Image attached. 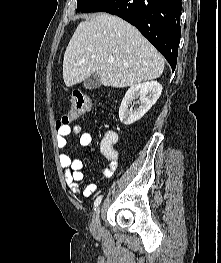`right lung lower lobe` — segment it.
<instances>
[{
	"instance_id": "right-lung-lower-lobe-1",
	"label": "right lung lower lobe",
	"mask_w": 221,
	"mask_h": 263,
	"mask_svg": "<svg viewBox=\"0 0 221 263\" xmlns=\"http://www.w3.org/2000/svg\"><path fill=\"white\" fill-rule=\"evenodd\" d=\"M181 0H104L92 12H108L134 25L175 70L181 36Z\"/></svg>"
}]
</instances>
